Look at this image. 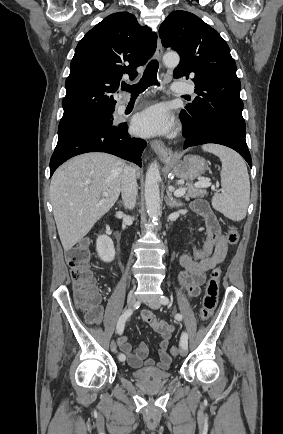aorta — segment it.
<instances>
[{
  "label": "aorta",
  "mask_w": 283,
  "mask_h": 434,
  "mask_svg": "<svg viewBox=\"0 0 283 434\" xmlns=\"http://www.w3.org/2000/svg\"><path fill=\"white\" fill-rule=\"evenodd\" d=\"M180 58L177 53H167L163 57L166 66L175 67L179 64ZM160 171L157 162L150 164L145 178V201L149 217L158 221L160 216V192H159Z\"/></svg>",
  "instance_id": "obj_1"
}]
</instances>
